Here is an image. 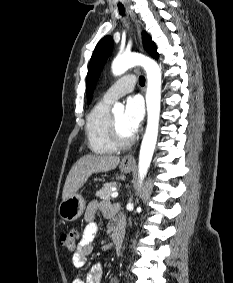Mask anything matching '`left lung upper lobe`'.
<instances>
[{
    "label": "left lung upper lobe",
    "mask_w": 233,
    "mask_h": 283,
    "mask_svg": "<svg viewBox=\"0 0 233 283\" xmlns=\"http://www.w3.org/2000/svg\"><path fill=\"white\" fill-rule=\"evenodd\" d=\"M143 43L146 51L155 59L159 57L157 53V47L155 43L151 40V37L147 33H142ZM113 48V39L111 36H105L97 44L89 64L88 74H87V101L90 103L93 94V88L97 82L100 71L106 62L111 50Z\"/></svg>",
    "instance_id": "1"
}]
</instances>
